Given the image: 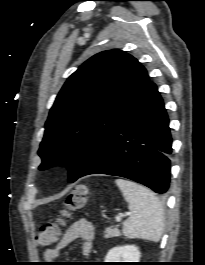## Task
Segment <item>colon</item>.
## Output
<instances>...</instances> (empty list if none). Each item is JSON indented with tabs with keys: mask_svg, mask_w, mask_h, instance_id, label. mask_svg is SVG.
Returning <instances> with one entry per match:
<instances>
[{
	"mask_svg": "<svg viewBox=\"0 0 205 265\" xmlns=\"http://www.w3.org/2000/svg\"><path fill=\"white\" fill-rule=\"evenodd\" d=\"M89 189L85 185L77 186L65 199V209L62 211V218L56 222L46 223L40 226L36 236V241L40 246H50L58 241L60 227L64 218L68 217L71 211L80 209L84 206Z\"/></svg>",
	"mask_w": 205,
	"mask_h": 265,
	"instance_id": "1",
	"label": "colon"
}]
</instances>
